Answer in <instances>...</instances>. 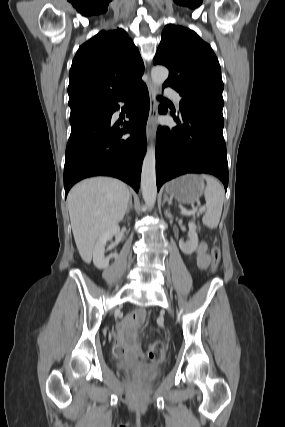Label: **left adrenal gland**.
I'll list each match as a JSON object with an SVG mask.
<instances>
[{"instance_id": "1", "label": "left adrenal gland", "mask_w": 285, "mask_h": 427, "mask_svg": "<svg viewBox=\"0 0 285 427\" xmlns=\"http://www.w3.org/2000/svg\"><path fill=\"white\" fill-rule=\"evenodd\" d=\"M165 202H168L169 205H172V200L169 199L166 194L164 195L163 203H165Z\"/></svg>"}]
</instances>
